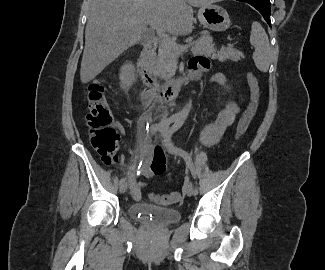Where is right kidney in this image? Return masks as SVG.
Returning <instances> with one entry per match:
<instances>
[{
  "label": "right kidney",
  "instance_id": "ca27d5eb",
  "mask_svg": "<svg viewBox=\"0 0 325 270\" xmlns=\"http://www.w3.org/2000/svg\"><path fill=\"white\" fill-rule=\"evenodd\" d=\"M121 81H122L121 86L124 90H128V88L135 81L134 67L132 66V64H126L123 67V71L121 74Z\"/></svg>",
  "mask_w": 325,
  "mask_h": 270
}]
</instances>
